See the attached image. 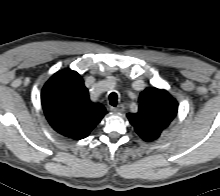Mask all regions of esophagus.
<instances>
[{
    "label": "esophagus",
    "instance_id": "1",
    "mask_svg": "<svg viewBox=\"0 0 220 196\" xmlns=\"http://www.w3.org/2000/svg\"><path fill=\"white\" fill-rule=\"evenodd\" d=\"M110 110L115 113H121L124 110V106L118 105L117 107H111Z\"/></svg>",
    "mask_w": 220,
    "mask_h": 196
}]
</instances>
